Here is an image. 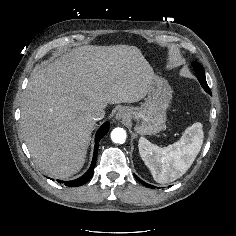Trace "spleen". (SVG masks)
Listing matches in <instances>:
<instances>
[{
    "label": "spleen",
    "mask_w": 236,
    "mask_h": 236,
    "mask_svg": "<svg viewBox=\"0 0 236 236\" xmlns=\"http://www.w3.org/2000/svg\"><path fill=\"white\" fill-rule=\"evenodd\" d=\"M202 124L188 127L179 141L160 148L146 138L139 139V154L154 180L168 183L180 178L193 164L203 144Z\"/></svg>",
    "instance_id": "1"
}]
</instances>
